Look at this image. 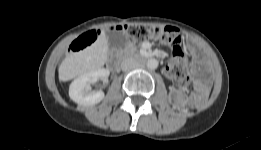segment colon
Segmentation results:
<instances>
[{
	"label": "colon",
	"mask_w": 261,
	"mask_h": 150,
	"mask_svg": "<svg viewBox=\"0 0 261 150\" xmlns=\"http://www.w3.org/2000/svg\"><path fill=\"white\" fill-rule=\"evenodd\" d=\"M121 28L136 42L153 40L170 46L172 58L165 66L166 73L178 86L183 87L188 83L187 61L182 47V34L179 29L171 26L152 27L144 25H125ZM100 34L101 31L98 29L87 31L72 43L70 50L73 52L83 50L94 43Z\"/></svg>",
	"instance_id": "1"
}]
</instances>
